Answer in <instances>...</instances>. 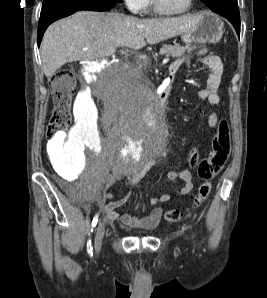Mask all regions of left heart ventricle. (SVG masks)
Returning a JSON list of instances; mask_svg holds the SVG:
<instances>
[{"mask_svg":"<svg viewBox=\"0 0 267 298\" xmlns=\"http://www.w3.org/2000/svg\"><path fill=\"white\" fill-rule=\"evenodd\" d=\"M161 6L171 12L182 11L188 4V0H159Z\"/></svg>","mask_w":267,"mask_h":298,"instance_id":"left-heart-ventricle-1","label":"left heart ventricle"}]
</instances>
